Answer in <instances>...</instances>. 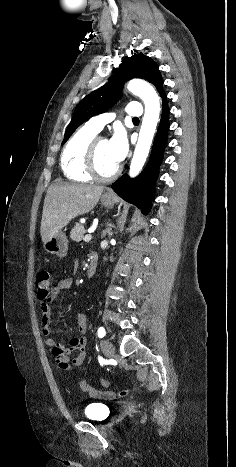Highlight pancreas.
<instances>
[{
    "label": "pancreas",
    "mask_w": 236,
    "mask_h": 467,
    "mask_svg": "<svg viewBox=\"0 0 236 467\" xmlns=\"http://www.w3.org/2000/svg\"><path fill=\"white\" fill-rule=\"evenodd\" d=\"M86 230L80 223H76L70 232V238L73 241L80 242L85 234Z\"/></svg>",
    "instance_id": "cf45deb5"
}]
</instances>
